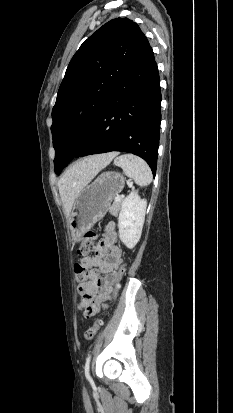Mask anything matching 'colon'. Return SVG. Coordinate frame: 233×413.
<instances>
[{"mask_svg":"<svg viewBox=\"0 0 233 413\" xmlns=\"http://www.w3.org/2000/svg\"><path fill=\"white\" fill-rule=\"evenodd\" d=\"M97 239V234L93 230H88L83 235V241L81 246L78 249V254L80 256H87L95 251V240ZM125 270V265L120 268L119 271V278L123 274ZM74 271L76 274V279L79 283L86 282L90 277V270L87 266L83 265L82 263H76L74 266ZM118 278V280H119ZM101 325V319H97L91 327H89L85 333L84 337L86 340H92Z\"/></svg>","mask_w":233,"mask_h":413,"instance_id":"obj_1","label":"colon"}]
</instances>
